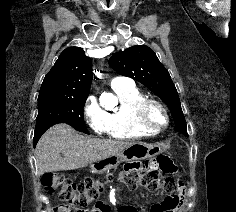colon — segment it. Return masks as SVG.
Masks as SVG:
<instances>
[{
	"label": "colon",
	"instance_id": "1",
	"mask_svg": "<svg viewBox=\"0 0 236 212\" xmlns=\"http://www.w3.org/2000/svg\"><path fill=\"white\" fill-rule=\"evenodd\" d=\"M167 171L173 172L174 165L170 159L162 157L144 163L126 164L119 179L125 186L142 185L150 191L179 195V184L174 178L166 175ZM42 185L48 194H56L64 203L56 209L57 212H83L84 208L98 198L103 189V183L99 180L87 178L76 182L58 173L45 174Z\"/></svg>",
	"mask_w": 236,
	"mask_h": 212
}]
</instances>
